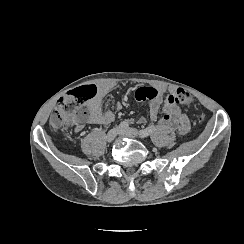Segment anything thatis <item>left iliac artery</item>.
I'll use <instances>...</instances> for the list:
<instances>
[{
  "instance_id": "obj_1",
  "label": "left iliac artery",
  "mask_w": 244,
  "mask_h": 244,
  "mask_svg": "<svg viewBox=\"0 0 244 244\" xmlns=\"http://www.w3.org/2000/svg\"><path fill=\"white\" fill-rule=\"evenodd\" d=\"M154 130H155V126L151 125L145 129L140 130L139 135H140V137L145 138V137L149 136Z\"/></svg>"
}]
</instances>
